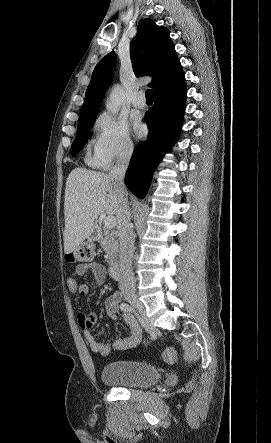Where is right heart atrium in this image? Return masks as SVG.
Returning a JSON list of instances; mask_svg holds the SVG:
<instances>
[{
  "label": "right heart atrium",
  "mask_w": 271,
  "mask_h": 443,
  "mask_svg": "<svg viewBox=\"0 0 271 443\" xmlns=\"http://www.w3.org/2000/svg\"><path fill=\"white\" fill-rule=\"evenodd\" d=\"M93 130L95 138L92 149L98 164L108 166L112 161L133 152L134 142L125 120L102 111L94 119Z\"/></svg>",
  "instance_id": "d8ad5b80"
}]
</instances>
